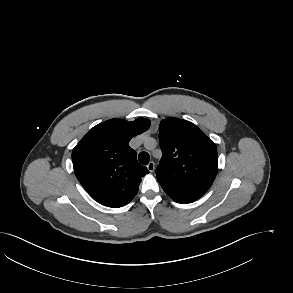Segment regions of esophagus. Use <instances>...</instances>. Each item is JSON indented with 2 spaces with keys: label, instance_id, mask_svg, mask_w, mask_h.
<instances>
[{
  "label": "esophagus",
  "instance_id": "esophagus-1",
  "mask_svg": "<svg viewBox=\"0 0 293 293\" xmlns=\"http://www.w3.org/2000/svg\"><path fill=\"white\" fill-rule=\"evenodd\" d=\"M147 169L149 170V172H153L155 169V163L153 161L149 162L147 165Z\"/></svg>",
  "mask_w": 293,
  "mask_h": 293
}]
</instances>
